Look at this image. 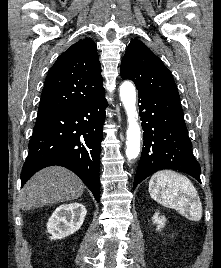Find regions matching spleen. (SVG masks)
I'll return each mask as SVG.
<instances>
[{"label": "spleen", "instance_id": "obj_1", "mask_svg": "<svg viewBox=\"0 0 221 268\" xmlns=\"http://www.w3.org/2000/svg\"><path fill=\"white\" fill-rule=\"evenodd\" d=\"M149 194L164 207L178 211L192 221L202 217V204L198 192L184 175L172 170H161L149 181Z\"/></svg>", "mask_w": 221, "mask_h": 268}]
</instances>
